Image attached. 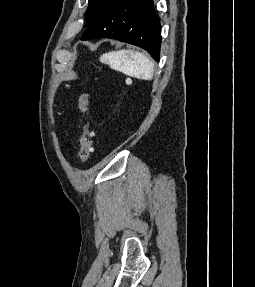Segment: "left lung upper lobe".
<instances>
[{"instance_id":"obj_1","label":"left lung upper lobe","mask_w":255,"mask_h":287,"mask_svg":"<svg viewBox=\"0 0 255 287\" xmlns=\"http://www.w3.org/2000/svg\"><path fill=\"white\" fill-rule=\"evenodd\" d=\"M114 0H89V7L86 11V25L87 27L98 16H100Z\"/></svg>"}]
</instances>
